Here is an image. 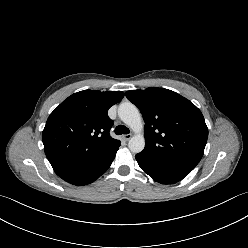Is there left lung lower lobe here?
I'll list each match as a JSON object with an SVG mask.
<instances>
[{
    "label": "left lung lower lobe",
    "instance_id": "obj_1",
    "mask_svg": "<svg viewBox=\"0 0 248 248\" xmlns=\"http://www.w3.org/2000/svg\"><path fill=\"white\" fill-rule=\"evenodd\" d=\"M136 160L145 173L161 184H173L179 182L191 171L187 168L150 160L139 153L136 155Z\"/></svg>",
    "mask_w": 248,
    "mask_h": 248
}]
</instances>
